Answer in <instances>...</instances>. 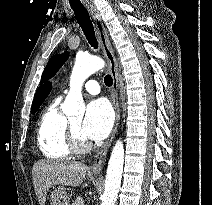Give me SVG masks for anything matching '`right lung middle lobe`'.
Here are the masks:
<instances>
[{"label":"right lung middle lobe","instance_id":"obj_1","mask_svg":"<svg viewBox=\"0 0 212 205\" xmlns=\"http://www.w3.org/2000/svg\"><path fill=\"white\" fill-rule=\"evenodd\" d=\"M39 106H35L31 108V113L34 114L38 110Z\"/></svg>","mask_w":212,"mask_h":205}]
</instances>
